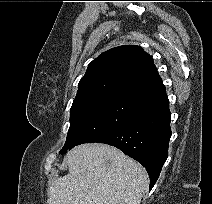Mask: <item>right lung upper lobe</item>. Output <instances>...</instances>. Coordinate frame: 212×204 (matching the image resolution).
I'll return each mask as SVG.
<instances>
[{"mask_svg":"<svg viewBox=\"0 0 212 204\" xmlns=\"http://www.w3.org/2000/svg\"><path fill=\"white\" fill-rule=\"evenodd\" d=\"M164 93L150 55L139 46L123 45L102 53L89 64L72 106L109 97L145 104Z\"/></svg>","mask_w":212,"mask_h":204,"instance_id":"1","label":"right lung upper lobe"}]
</instances>
